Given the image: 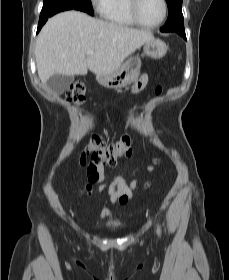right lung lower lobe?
<instances>
[{"instance_id":"obj_1","label":"right lung lower lobe","mask_w":229,"mask_h":280,"mask_svg":"<svg viewBox=\"0 0 229 280\" xmlns=\"http://www.w3.org/2000/svg\"><path fill=\"white\" fill-rule=\"evenodd\" d=\"M65 10H71V9L62 8V9H58V10L52 12L51 14H40L37 33L40 31V29L42 28V26L45 24V22L48 20L49 17H51L54 14L59 13L61 11H65Z\"/></svg>"}]
</instances>
